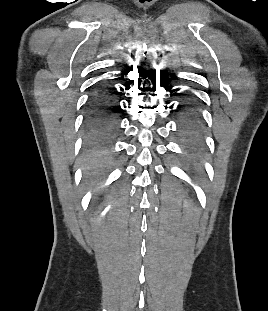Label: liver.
I'll list each match as a JSON object with an SVG mask.
<instances>
[{
  "label": "liver",
  "instance_id": "1",
  "mask_svg": "<svg viewBox=\"0 0 268 311\" xmlns=\"http://www.w3.org/2000/svg\"><path fill=\"white\" fill-rule=\"evenodd\" d=\"M109 163L104 153H90L84 161V175L86 178H95L100 175ZM93 184H97L95 181Z\"/></svg>",
  "mask_w": 268,
  "mask_h": 311
}]
</instances>
